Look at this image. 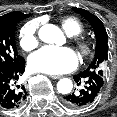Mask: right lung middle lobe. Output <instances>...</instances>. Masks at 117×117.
Returning <instances> with one entry per match:
<instances>
[{
    "mask_svg": "<svg viewBox=\"0 0 117 117\" xmlns=\"http://www.w3.org/2000/svg\"><path fill=\"white\" fill-rule=\"evenodd\" d=\"M29 15L0 20V64H15L23 58L18 55L15 44L16 24Z\"/></svg>",
    "mask_w": 117,
    "mask_h": 117,
    "instance_id": "dd1d6c3e",
    "label": "right lung middle lobe"
}]
</instances>
